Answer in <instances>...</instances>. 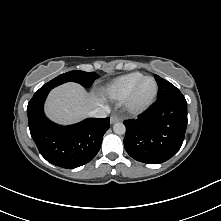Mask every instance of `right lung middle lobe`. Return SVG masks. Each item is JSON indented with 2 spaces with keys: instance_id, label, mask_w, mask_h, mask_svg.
Returning <instances> with one entry per match:
<instances>
[{
  "instance_id": "obj_1",
  "label": "right lung middle lobe",
  "mask_w": 221,
  "mask_h": 221,
  "mask_svg": "<svg viewBox=\"0 0 221 221\" xmlns=\"http://www.w3.org/2000/svg\"><path fill=\"white\" fill-rule=\"evenodd\" d=\"M98 77L99 75L94 72H84L79 70L70 71L62 75H59L53 80L44 84L36 93L43 92L46 90L50 91L54 87L66 82H77L82 86L89 88L93 84L94 80Z\"/></svg>"
}]
</instances>
